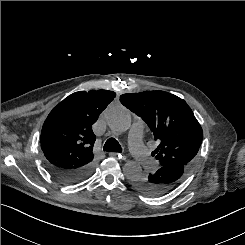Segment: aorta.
I'll return each instance as SVG.
<instances>
[{
    "label": "aorta",
    "instance_id": "1",
    "mask_svg": "<svg viewBox=\"0 0 245 245\" xmlns=\"http://www.w3.org/2000/svg\"><path fill=\"white\" fill-rule=\"evenodd\" d=\"M106 122L108 127L115 133H124L131 127V114L122 106L112 107L107 111ZM127 179L142 175V167L135 161H127L123 167Z\"/></svg>",
    "mask_w": 245,
    "mask_h": 245
}]
</instances>
